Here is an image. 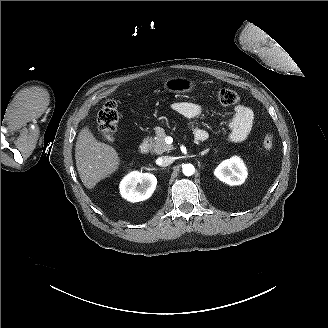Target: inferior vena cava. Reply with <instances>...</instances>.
I'll use <instances>...</instances> for the list:
<instances>
[{"label": "inferior vena cava", "mask_w": 328, "mask_h": 328, "mask_svg": "<svg viewBox=\"0 0 328 328\" xmlns=\"http://www.w3.org/2000/svg\"><path fill=\"white\" fill-rule=\"evenodd\" d=\"M173 158L171 156H162L158 159V165L161 167L169 166L173 163Z\"/></svg>", "instance_id": "obj_1"}]
</instances>
